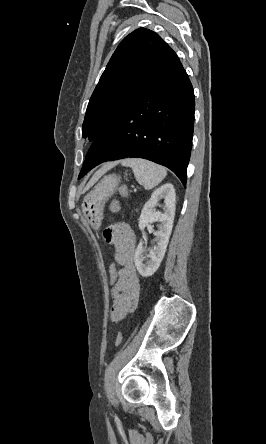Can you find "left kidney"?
<instances>
[{
    "label": "left kidney",
    "instance_id": "obj_1",
    "mask_svg": "<svg viewBox=\"0 0 266 444\" xmlns=\"http://www.w3.org/2000/svg\"><path fill=\"white\" fill-rule=\"evenodd\" d=\"M160 199L164 200V213L154 209ZM175 203L176 193L174 186L167 183L156 189L151 194L150 199L145 203L141 211L139 218L140 230H144L149 223H153L155 221L160 222L159 229L155 231L157 244L148 250L149 253L147 256L149 257V260L146 263H143L144 258L142 241H140L135 251V266L142 277H149L153 275L163 260L173 227Z\"/></svg>",
    "mask_w": 266,
    "mask_h": 444
}]
</instances>
